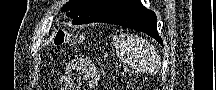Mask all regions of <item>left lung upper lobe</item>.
I'll use <instances>...</instances> for the list:
<instances>
[{
	"label": "left lung upper lobe",
	"mask_w": 216,
	"mask_h": 90,
	"mask_svg": "<svg viewBox=\"0 0 216 90\" xmlns=\"http://www.w3.org/2000/svg\"><path fill=\"white\" fill-rule=\"evenodd\" d=\"M130 0H70L62 11H70L67 15L73 18V24H87L96 21L106 13L120 8Z\"/></svg>",
	"instance_id": "5c2ea615"
}]
</instances>
